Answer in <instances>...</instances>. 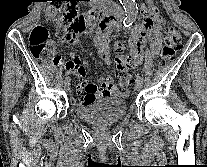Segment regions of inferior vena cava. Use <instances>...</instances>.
<instances>
[{
	"label": "inferior vena cava",
	"instance_id": "1",
	"mask_svg": "<svg viewBox=\"0 0 207 167\" xmlns=\"http://www.w3.org/2000/svg\"><path fill=\"white\" fill-rule=\"evenodd\" d=\"M107 0H101V3H105Z\"/></svg>",
	"mask_w": 207,
	"mask_h": 167
}]
</instances>
